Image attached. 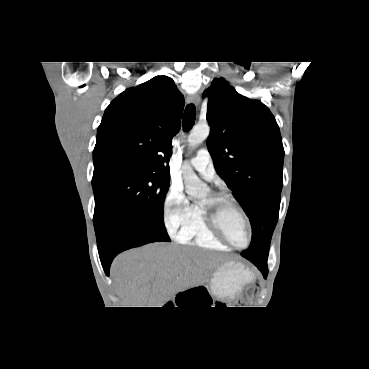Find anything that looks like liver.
Here are the masks:
<instances>
[{
	"mask_svg": "<svg viewBox=\"0 0 369 369\" xmlns=\"http://www.w3.org/2000/svg\"><path fill=\"white\" fill-rule=\"evenodd\" d=\"M222 261L205 250L154 243L120 254L111 277L125 307H163L178 292L202 284Z\"/></svg>",
	"mask_w": 369,
	"mask_h": 369,
	"instance_id": "liver-1",
	"label": "liver"
}]
</instances>
